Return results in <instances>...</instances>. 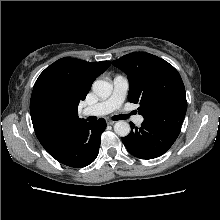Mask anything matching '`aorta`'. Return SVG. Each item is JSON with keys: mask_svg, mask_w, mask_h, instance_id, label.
Returning a JSON list of instances; mask_svg holds the SVG:
<instances>
[{"mask_svg": "<svg viewBox=\"0 0 220 220\" xmlns=\"http://www.w3.org/2000/svg\"><path fill=\"white\" fill-rule=\"evenodd\" d=\"M93 92L100 98H108L113 90L112 84L104 80H96L92 85ZM130 125L125 121H117L114 131L117 135L125 137L130 133Z\"/></svg>", "mask_w": 220, "mask_h": 220, "instance_id": "1", "label": "aorta"}]
</instances>
